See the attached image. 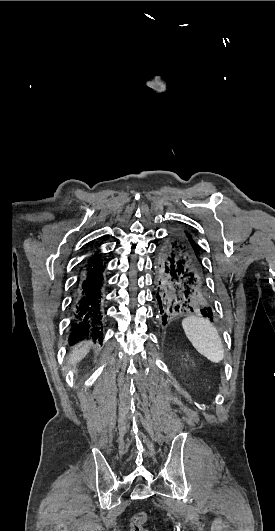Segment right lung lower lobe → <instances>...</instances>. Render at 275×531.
<instances>
[{
  "label": "right lung lower lobe",
  "instance_id": "98d812e1",
  "mask_svg": "<svg viewBox=\"0 0 275 531\" xmlns=\"http://www.w3.org/2000/svg\"><path fill=\"white\" fill-rule=\"evenodd\" d=\"M95 253L87 260L74 297V314L70 329L69 340L74 343L91 335L100 340L103 333L102 287L104 284L103 271L105 264Z\"/></svg>",
  "mask_w": 275,
  "mask_h": 531
}]
</instances>
